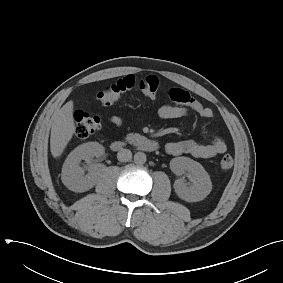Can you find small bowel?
I'll list each match as a JSON object with an SVG mask.
<instances>
[{"mask_svg":"<svg viewBox=\"0 0 283 283\" xmlns=\"http://www.w3.org/2000/svg\"><path fill=\"white\" fill-rule=\"evenodd\" d=\"M169 97L173 103L162 105L158 110L159 116L163 119L182 118L189 111H193L205 119L213 116V111L210 108L205 107L183 89H170ZM109 121L117 127H120L123 123L119 116H112ZM165 150L172 156L189 154L196 158L207 159L226 152L227 143L221 136L214 135L209 143H200L193 139L169 142L165 145Z\"/></svg>","mask_w":283,"mask_h":283,"instance_id":"1","label":"small bowel"}]
</instances>
